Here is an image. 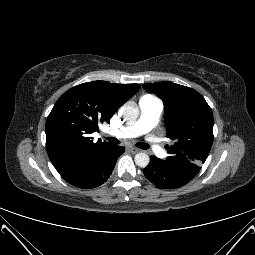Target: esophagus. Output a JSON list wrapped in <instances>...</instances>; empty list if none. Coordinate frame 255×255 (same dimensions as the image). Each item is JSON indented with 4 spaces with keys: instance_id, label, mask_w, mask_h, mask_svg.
<instances>
[{
    "instance_id": "34e87169",
    "label": "esophagus",
    "mask_w": 255,
    "mask_h": 255,
    "mask_svg": "<svg viewBox=\"0 0 255 255\" xmlns=\"http://www.w3.org/2000/svg\"><path fill=\"white\" fill-rule=\"evenodd\" d=\"M128 150H129L131 153H137V152L140 151V149L135 148V147H129Z\"/></svg>"
}]
</instances>
